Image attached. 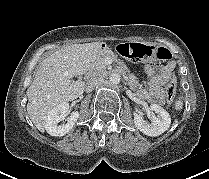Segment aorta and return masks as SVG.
I'll list each match as a JSON object with an SVG mask.
<instances>
[{
	"label": "aorta",
	"mask_w": 209,
	"mask_h": 179,
	"mask_svg": "<svg viewBox=\"0 0 209 179\" xmlns=\"http://www.w3.org/2000/svg\"><path fill=\"white\" fill-rule=\"evenodd\" d=\"M120 82V75L112 74L109 78V83L112 85H117Z\"/></svg>",
	"instance_id": "obj_1"
}]
</instances>
